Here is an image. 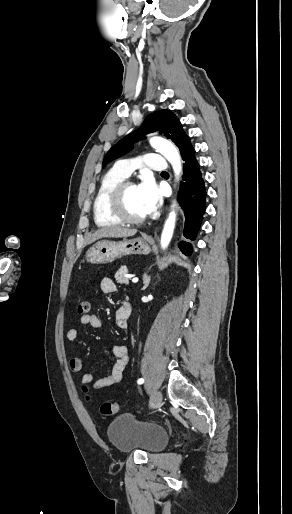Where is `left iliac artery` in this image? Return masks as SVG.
<instances>
[{"instance_id":"44dca946","label":"left iliac artery","mask_w":292,"mask_h":514,"mask_svg":"<svg viewBox=\"0 0 292 514\" xmlns=\"http://www.w3.org/2000/svg\"><path fill=\"white\" fill-rule=\"evenodd\" d=\"M143 382H144V379H143V378H140V379H138V381H137V383H138V384H142Z\"/></svg>"}]
</instances>
